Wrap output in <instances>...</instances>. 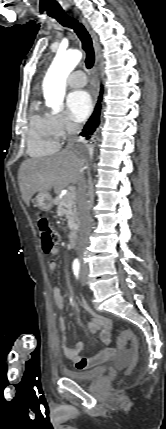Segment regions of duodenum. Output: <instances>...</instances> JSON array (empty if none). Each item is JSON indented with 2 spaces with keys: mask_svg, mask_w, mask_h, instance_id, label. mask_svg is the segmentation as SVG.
Masks as SVG:
<instances>
[{
  "mask_svg": "<svg viewBox=\"0 0 166 429\" xmlns=\"http://www.w3.org/2000/svg\"><path fill=\"white\" fill-rule=\"evenodd\" d=\"M77 242V233L73 232L70 234L69 239H68V244L70 248H74Z\"/></svg>",
  "mask_w": 166,
  "mask_h": 429,
  "instance_id": "obj_1",
  "label": "duodenum"
}]
</instances>
